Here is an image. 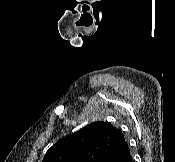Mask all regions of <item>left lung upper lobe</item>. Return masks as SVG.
<instances>
[{
    "label": "left lung upper lobe",
    "mask_w": 175,
    "mask_h": 162,
    "mask_svg": "<svg viewBox=\"0 0 175 162\" xmlns=\"http://www.w3.org/2000/svg\"><path fill=\"white\" fill-rule=\"evenodd\" d=\"M124 140L119 129L96 121L58 140L48 149L42 162H105Z\"/></svg>",
    "instance_id": "left-lung-upper-lobe-1"
}]
</instances>
